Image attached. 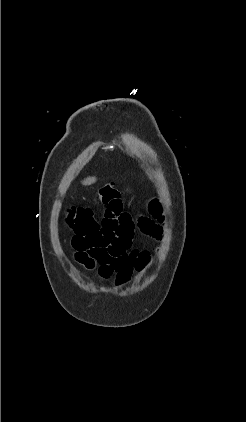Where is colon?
Wrapping results in <instances>:
<instances>
[{
	"label": "colon",
	"instance_id": "colon-1",
	"mask_svg": "<svg viewBox=\"0 0 246 422\" xmlns=\"http://www.w3.org/2000/svg\"><path fill=\"white\" fill-rule=\"evenodd\" d=\"M122 191L114 186L113 183L104 186L97 198V204L107 207L118 208L121 204ZM68 224L77 234H85L98 226L94 218L93 208L90 206L71 207L68 213ZM148 252L139 253L135 270H141L148 262Z\"/></svg>",
	"mask_w": 246,
	"mask_h": 422
}]
</instances>
